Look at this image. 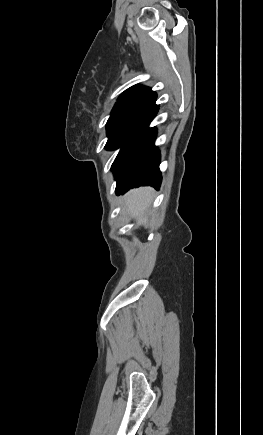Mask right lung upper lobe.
Masks as SVG:
<instances>
[{
  "label": "right lung upper lobe",
  "instance_id": "obj_1",
  "mask_svg": "<svg viewBox=\"0 0 263 435\" xmlns=\"http://www.w3.org/2000/svg\"><path fill=\"white\" fill-rule=\"evenodd\" d=\"M157 94L152 91L149 87L142 85H134L124 91L118 98V102L115 106L121 105H141L146 106L154 99H156Z\"/></svg>",
  "mask_w": 263,
  "mask_h": 435
}]
</instances>
